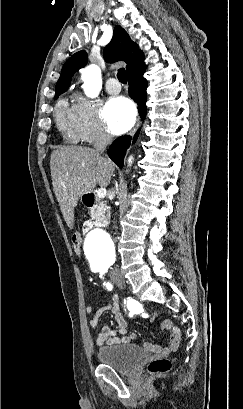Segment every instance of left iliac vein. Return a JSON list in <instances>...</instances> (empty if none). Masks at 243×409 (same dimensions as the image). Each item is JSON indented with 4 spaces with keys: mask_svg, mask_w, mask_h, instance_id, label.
<instances>
[{
    "mask_svg": "<svg viewBox=\"0 0 243 409\" xmlns=\"http://www.w3.org/2000/svg\"><path fill=\"white\" fill-rule=\"evenodd\" d=\"M112 282L120 288L125 287V281L120 274H113L111 276Z\"/></svg>",
    "mask_w": 243,
    "mask_h": 409,
    "instance_id": "left-iliac-vein-1",
    "label": "left iliac vein"
}]
</instances>
